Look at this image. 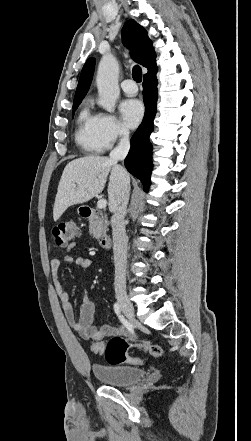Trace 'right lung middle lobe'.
Segmentation results:
<instances>
[{"label": "right lung middle lobe", "mask_w": 251, "mask_h": 441, "mask_svg": "<svg viewBox=\"0 0 251 441\" xmlns=\"http://www.w3.org/2000/svg\"><path fill=\"white\" fill-rule=\"evenodd\" d=\"M81 101H82V100H80V101H75V102L73 103V114H74L75 110L77 109V107L79 106V104L81 103Z\"/></svg>", "instance_id": "obj_1"}]
</instances>
